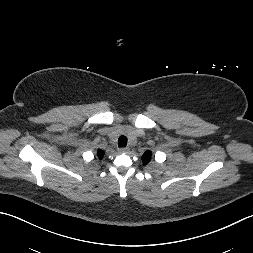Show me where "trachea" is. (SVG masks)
<instances>
[{
  "label": "trachea",
  "mask_w": 253,
  "mask_h": 253,
  "mask_svg": "<svg viewBox=\"0 0 253 253\" xmlns=\"http://www.w3.org/2000/svg\"><path fill=\"white\" fill-rule=\"evenodd\" d=\"M127 145V137L126 136H120L118 139V146L119 147H125Z\"/></svg>",
  "instance_id": "obj_1"
}]
</instances>
